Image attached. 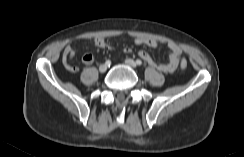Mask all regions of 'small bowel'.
<instances>
[{"mask_svg":"<svg viewBox=\"0 0 244 157\" xmlns=\"http://www.w3.org/2000/svg\"><path fill=\"white\" fill-rule=\"evenodd\" d=\"M134 43L136 45H146L151 48H156L158 47L159 43L154 40V39H149V38H136L134 40ZM94 45L97 48H103V49H108L112 50L113 47L108 44L102 37H97L94 39ZM167 47L169 49V59L165 63H158L154 61V59L151 57L149 53L146 51H140L139 52V57L143 59L149 66L156 68L157 70L164 72V73H172L174 72L181 59L182 51L178 45H176L173 42H169L167 44ZM123 51L125 53H131V48L130 47H125L123 48ZM68 54H73V46L72 44H68L65 49H64V55ZM94 56L91 52H87L83 56V63L86 65H90L93 63Z\"/></svg>","mask_w":244,"mask_h":157,"instance_id":"obj_1","label":"small bowel"}]
</instances>
